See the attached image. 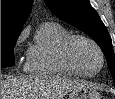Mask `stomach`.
Returning <instances> with one entry per match:
<instances>
[{
  "label": "stomach",
  "instance_id": "stomach-1",
  "mask_svg": "<svg viewBox=\"0 0 115 99\" xmlns=\"http://www.w3.org/2000/svg\"><path fill=\"white\" fill-rule=\"evenodd\" d=\"M68 99H101L99 93L90 86L83 85L74 89Z\"/></svg>",
  "mask_w": 115,
  "mask_h": 99
}]
</instances>
